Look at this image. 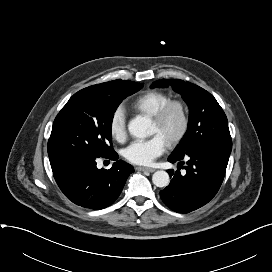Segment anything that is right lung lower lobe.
<instances>
[{"label":"right lung lower lobe","mask_w":272,"mask_h":272,"mask_svg":"<svg viewBox=\"0 0 272 272\" xmlns=\"http://www.w3.org/2000/svg\"><path fill=\"white\" fill-rule=\"evenodd\" d=\"M97 156L64 157L51 163L53 175L64 195L76 205L100 210L111 205L120 195L134 168L118 159L116 152L104 156L117 160L111 169H98Z\"/></svg>","instance_id":"obj_1"}]
</instances>
